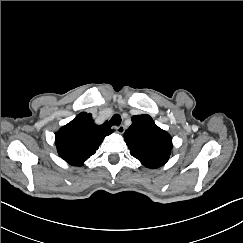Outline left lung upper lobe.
Wrapping results in <instances>:
<instances>
[{
	"instance_id": "obj_1",
	"label": "left lung upper lobe",
	"mask_w": 243,
	"mask_h": 243,
	"mask_svg": "<svg viewBox=\"0 0 243 243\" xmlns=\"http://www.w3.org/2000/svg\"><path fill=\"white\" fill-rule=\"evenodd\" d=\"M124 140L131 155L149 168L163 166L171 155V136L159 128L149 115L133 116Z\"/></svg>"
}]
</instances>
